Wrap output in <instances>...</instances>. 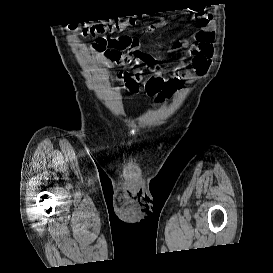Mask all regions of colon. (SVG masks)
I'll list each match as a JSON object with an SVG mask.
<instances>
[{"instance_id":"obj_1","label":"colon","mask_w":273,"mask_h":273,"mask_svg":"<svg viewBox=\"0 0 273 273\" xmlns=\"http://www.w3.org/2000/svg\"><path fill=\"white\" fill-rule=\"evenodd\" d=\"M135 19L133 17L95 22L91 24H85L83 26V31L91 35L100 34H114L126 30L129 26L134 25ZM131 45H138V40L131 38Z\"/></svg>"}]
</instances>
